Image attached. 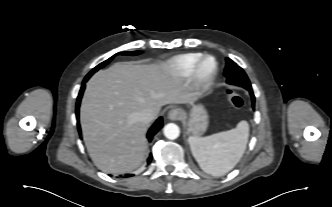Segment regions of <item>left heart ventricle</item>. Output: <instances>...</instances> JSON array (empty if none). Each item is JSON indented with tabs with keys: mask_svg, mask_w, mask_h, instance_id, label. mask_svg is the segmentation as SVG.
<instances>
[{
	"mask_svg": "<svg viewBox=\"0 0 332 207\" xmlns=\"http://www.w3.org/2000/svg\"><path fill=\"white\" fill-rule=\"evenodd\" d=\"M211 68H212V61H210V60L206 61L202 67L203 72H205V73L209 72L211 70Z\"/></svg>",
	"mask_w": 332,
	"mask_h": 207,
	"instance_id": "obj_1",
	"label": "left heart ventricle"
}]
</instances>
